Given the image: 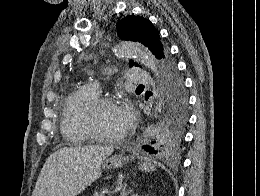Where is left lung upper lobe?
I'll list each match as a JSON object with an SVG mask.
<instances>
[{
  "label": "left lung upper lobe",
  "mask_w": 260,
  "mask_h": 196,
  "mask_svg": "<svg viewBox=\"0 0 260 196\" xmlns=\"http://www.w3.org/2000/svg\"><path fill=\"white\" fill-rule=\"evenodd\" d=\"M116 30L120 39L142 43L160 60L165 80L163 108L159 124L147 134V138L153 145L154 154L177 151L183 142L187 123V95L168 48L161 42L159 31L146 18L128 15L118 22ZM130 64L135 63L131 61Z\"/></svg>",
  "instance_id": "left-lung-upper-lobe-1"
}]
</instances>
